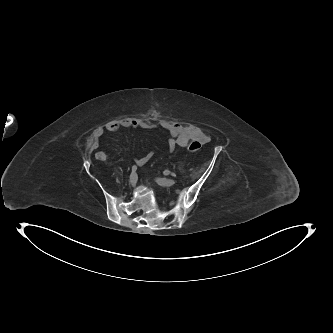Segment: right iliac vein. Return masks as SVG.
<instances>
[{
    "instance_id": "63e3f726",
    "label": "right iliac vein",
    "mask_w": 333,
    "mask_h": 333,
    "mask_svg": "<svg viewBox=\"0 0 333 333\" xmlns=\"http://www.w3.org/2000/svg\"><path fill=\"white\" fill-rule=\"evenodd\" d=\"M137 183V174L135 172H132L129 177V184L131 186H135Z\"/></svg>"
}]
</instances>
